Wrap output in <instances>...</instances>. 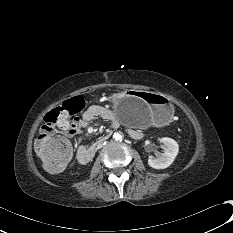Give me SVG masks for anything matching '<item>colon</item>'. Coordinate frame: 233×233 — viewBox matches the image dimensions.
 <instances>
[{"label": "colon", "instance_id": "colon-1", "mask_svg": "<svg viewBox=\"0 0 233 233\" xmlns=\"http://www.w3.org/2000/svg\"><path fill=\"white\" fill-rule=\"evenodd\" d=\"M86 105L82 96L72 97L48 112L41 126L40 135L35 143V150L44 167L50 172L61 171L72 158V146L65 137L54 134V128L70 120Z\"/></svg>", "mask_w": 233, "mask_h": 233}]
</instances>
